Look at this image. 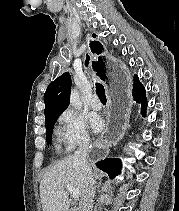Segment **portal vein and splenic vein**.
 Segmentation results:
<instances>
[{
    "instance_id": "portal-vein-and-splenic-vein-1",
    "label": "portal vein and splenic vein",
    "mask_w": 179,
    "mask_h": 211,
    "mask_svg": "<svg viewBox=\"0 0 179 211\" xmlns=\"http://www.w3.org/2000/svg\"><path fill=\"white\" fill-rule=\"evenodd\" d=\"M66 189L69 191L70 195L73 197V198H79L80 196V193L77 189L73 188L71 185L67 184L66 185Z\"/></svg>"
}]
</instances>
